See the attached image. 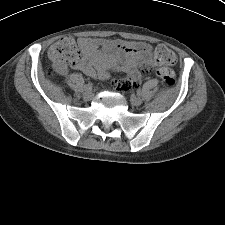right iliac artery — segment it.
Wrapping results in <instances>:
<instances>
[{
  "mask_svg": "<svg viewBox=\"0 0 225 225\" xmlns=\"http://www.w3.org/2000/svg\"><path fill=\"white\" fill-rule=\"evenodd\" d=\"M85 90L91 89L92 88V83H88L84 86Z\"/></svg>",
  "mask_w": 225,
  "mask_h": 225,
  "instance_id": "82829eb1",
  "label": "right iliac artery"
}]
</instances>
